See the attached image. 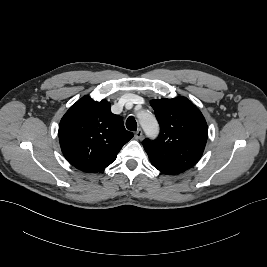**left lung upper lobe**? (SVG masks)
I'll use <instances>...</instances> for the list:
<instances>
[{
    "label": "left lung upper lobe",
    "mask_w": 267,
    "mask_h": 267,
    "mask_svg": "<svg viewBox=\"0 0 267 267\" xmlns=\"http://www.w3.org/2000/svg\"><path fill=\"white\" fill-rule=\"evenodd\" d=\"M160 135L143 141L154 167L187 170L201 158L208 127L200 110L187 98L152 100Z\"/></svg>",
    "instance_id": "left-lung-upper-lobe-1"
}]
</instances>
